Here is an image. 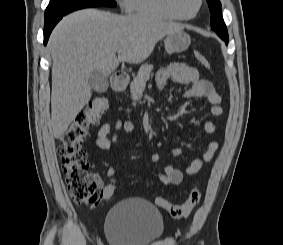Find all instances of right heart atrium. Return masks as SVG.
Wrapping results in <instances>:
<instances>
[{"instance_id":"1","label":"right heart atrium","mask_w":283,"mask_h":245,"mask_svg":"<svg viewBox=\"0 0 283 245\" xmlns=\"http://www.w3.org/2000/svg\"><path fill=\"white\" fill-rule=\"evenodd\" d=\"M121 7H124L126 0H116Z\"/></svg>"}]
</instances>
